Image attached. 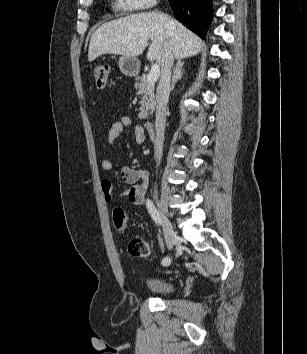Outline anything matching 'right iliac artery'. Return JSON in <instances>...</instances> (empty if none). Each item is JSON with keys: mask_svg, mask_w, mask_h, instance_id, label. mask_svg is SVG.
I'll return each instance as SVG.
<instances>
[{"mask_svg": "<svg viewBox=\"0 0 307 354\" xmlns=\"http://www.w3.org/2000/svg\"><path fill=\"white\" fill-rule=\"evenodd\" d=\"M146 207H147L148 212L151 215L152 219L155 221V223L158 225L161 224V218H160L159 212L150 199L146 200ZM170 263H171V259L168 256L163 258V260L161 262V264L163 266H168Z\"/></svg>", "mask_w": 307, "mask_h": 354, "instance_id": "right-iliac-artery-1", "label": "right iliac artery"}]
</instances>
